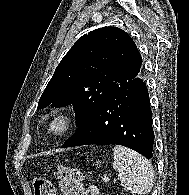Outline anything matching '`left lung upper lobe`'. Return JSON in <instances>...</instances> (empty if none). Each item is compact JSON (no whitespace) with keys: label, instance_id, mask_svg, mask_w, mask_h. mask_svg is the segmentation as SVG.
Listing matches in <instances>:
<instances>
[{"label":"left lung upper lobe","instance_id":"obj_1","mask_svg":"<svg viewBox=\"0 0 189 195\" xmlns=\"http://www.w3.org/2000/svg\"><path fill=\"white\" fill-rule=\"evenodd\" d=\"M141 64L133 39L123 30L91 31L63 57L38 108L73 105L80 126L115 90L139 76Z\"/></svg>","mask_w":189,"mask_h":195}]
</instances>
